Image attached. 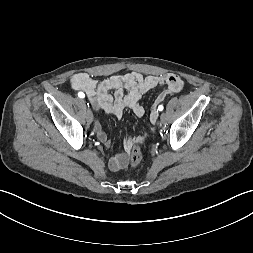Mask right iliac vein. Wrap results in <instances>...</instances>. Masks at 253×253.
I'll list each match as a JSON object with an SVG mask.
<instances>
[{
    "label": "right iliac vein",
    "mask_w": 253,
    "mask_h": 253,
    "mask_svg": "<svg viewBox=\"0 0 253 253\" xmlns=\"http://www.w3.org/2000/svg\"><path fill=\"white\" fill-rule=\"evenodd\" d=\"M86 119H87V122L90 123V124L93 121V115H92L91 110H89V109H88L87 114H86Z\"/></svg>",
    "instance_id": "1"
}]
</instances>
